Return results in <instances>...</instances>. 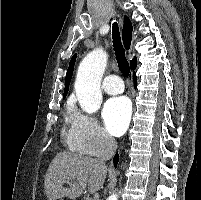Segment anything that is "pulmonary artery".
<instances>
[{
    "label": "pulmonary artery",
    "instance_id": "e3ab8cb5",
    "mask_svg": "<svg viewBox=\"0 0 201 200\" xmlns=\"http://www.w3.org/2000/svg\"><path fill=\"white\" fill-rule=\"evenodd\" d=\"M102 89L108 94L116 95L123 92L124 85L118 75L110 74L104 78Z\"/></svg>",
    "mask_w": 201,
    "mask_h": 200
}]
</instances>
